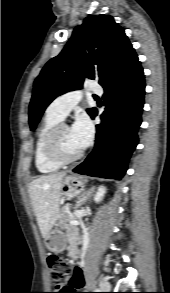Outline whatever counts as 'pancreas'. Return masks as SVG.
<instances>
[{"label": "pancreas", "instance_id": "obj_1", "mask_svg": "<svg viewBox=\"0 0 170 293\" xmlns=\"http://www.w3.org/2000/svg\"><path fill=\"white\" fill-rule=\"evenodd\" d=\"M75 217L70 212L69 208H62L58 215V227L61 229H69L73 227L69 224L70 220H74Z\"/></svg>", "mask_w": 170, "mask_h": 293}]
</instances>
